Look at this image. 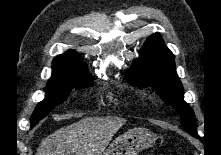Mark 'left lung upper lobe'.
I'll use <instances>...</instances> for the list:
<instances>
[{"label": "left lung upper lobe", "mask_w": 221, "mask_h": 155, "mask_svg": "<svg viewBox=\"0 0 221 155\" xmlns=\"http://www.w3.org/2000/svg\"><path fill=\"white\" fill-rule=\"evenodd\" d=\"M141 51L140 57L126 72L127 78L140 86L153 87L163 101L180 114L182 125L196 136L195 115L184 101L183 86L176 73L174 55L158 33L146 40Z\"/></svg>", "instance_id": "5c2ea615"}]
</instances>
